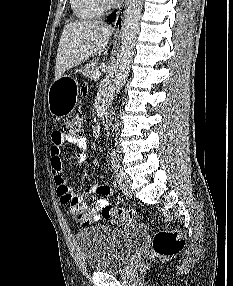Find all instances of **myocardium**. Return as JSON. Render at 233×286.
Wrapping results in <instances>:
<instances>
[{"instance_id": "obj_1", "label": "myocardium", "mask_w": 233, "mask_h": 286, "mask_svg": "<svg viewBox=\"0 0 233 286\" xmlns=\"http://www.w3.org/2000/svg\"><path fill=\"white\" fill-rule=\"evenodd\" d=\"M99 6L102 8V10H107L111 8L116 2L113 0H97Z\"/></svg>"}]
</instances>
